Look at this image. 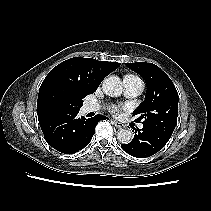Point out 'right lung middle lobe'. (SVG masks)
<instances>
[{
    "mask_svg": "<svg viewBox=\"0 0 211 211\" xmlns=\"http://www.w3.org/2000/svg\"><path fill=\"white\" fill-rule=\"evenodd\" d=\"M84 94L63 85L50 87L44 97L47 108L52 111L73 110L79 111L83 105Z\"/></svg>",
    "mask_w": 211,
    "mask_h": 211,
    "instance_id": "dd1d6c3e",
    "label": "right lung middle lobe"
}]
</instances>
